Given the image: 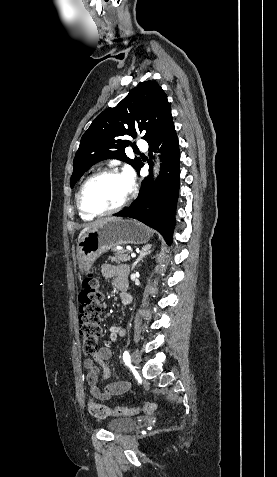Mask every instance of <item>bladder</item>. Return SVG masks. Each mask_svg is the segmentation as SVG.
<instances>
[{
	"label": "bladder",
	"instance_id": "bladder-1",
	"mask_svg": "<svg viewBox=\"0 0 277 477\" xmlns=\"http://www.w3.org/2000/svg\"><path fill=\"white\" fill-rule=\"evenodd\" d=\"M137 426V421L132 418L118 417L110 420L107 428L116 434L128 433L134 430Z\"/></svg>",
	"mask_w": 277,
	"mask_h": 477
}]
</instances>
